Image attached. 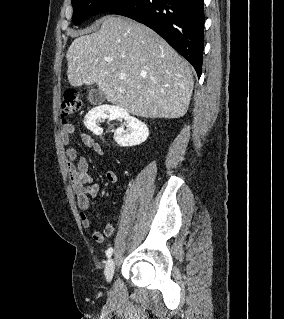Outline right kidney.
<instances>
[{"label": "right kidney", "instance_id": "ca27d5eb", "mask_svg": "<svg viewBox=\"0 0 284 319\" xmlns=\"http://www.w3.org/2000/svg\"><path fill=\"white\" fill-rule=\"evenodd\" d=\"M107 114L115 118L124 119L125 121L127 129L125 130V126L121 125L115 130L114 133V140L120 146H136L143 143L148 138L149 130L146 124L131 116L125 109L118 106H101L92 109L86 115L84 124L87 129L97 132L100 130V128L97 126V122L105 118Z\"/></svg>", "mask_w": 284, "mask_h": 319}]
</instances>
